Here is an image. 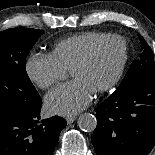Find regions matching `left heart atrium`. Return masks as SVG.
<instances>
[{
    "label": "left heart atrium",
    "instance_id": "1",
    "mask_svg": "<svg viewBox=\"0 0 155 155\" xmlns=\"http://www.w3.org/2000/svg\"><path fill=\"white\" fill-rule=\"evenodd\" d=\"M94 92L79 80L50 91L45 97L46 109L52 114L71 116L86 108Z\"/></svg>",
    "mask_w": 155,
    "mask_h": 155
}]
</instances>
